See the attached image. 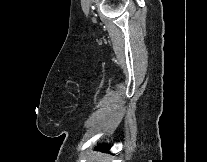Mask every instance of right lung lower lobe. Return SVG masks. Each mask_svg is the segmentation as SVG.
<instances>
[{"label": "right lung lower lobe", "mask_w": 207, "mask_h": 162, "mask_svg": "<svg viewBox=\"0 0 207 162\" xmlns=\"http://www.w3.org/2000/svg\"><path fill=\"white\" fill-rule=\"evenodd\" d=\"M102 148L103 149H109V146L108 145H103Z\"/></svg>", "instance_id": "obj_1"}]
</instances>
